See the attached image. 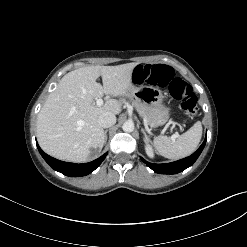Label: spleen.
<instances>
[{"instance_id":"1","label":"spleen","mask_w":247,"mask_h":247,"mask_svg":"<svg viewBox=\"0 0 247 247\" xmlns=\"http://www.w3.org/2000/svg\"><path fill=\"white\" fill-rule=\"evenodd\" d=\"M202 136V125L196 122L188 131L176 140L167 136L154 139V146L163 157L168 159H180L192 154Z\"/></svg>"}]
</instances>
